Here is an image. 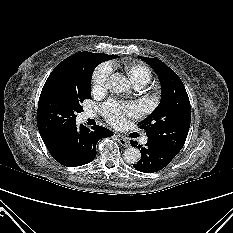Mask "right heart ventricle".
<instances>
[{"label":"right heart ventricle","mask_w":233,"mask_h":233,"mask_svg":"<svg viewBox=\"0 0 233 233\" xmlns=\"http://www.w3.org/2000/svg\"><path fill=\"white\" fill-rule=\"evenodd\" d=\"M126 72L135 86H144L152 79L151 70L143 64H131L126 66Z\"/></svg>","instance_id":"e07e8e85"}]
</instances>
